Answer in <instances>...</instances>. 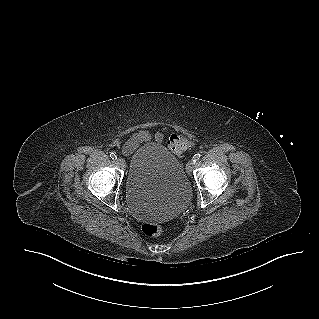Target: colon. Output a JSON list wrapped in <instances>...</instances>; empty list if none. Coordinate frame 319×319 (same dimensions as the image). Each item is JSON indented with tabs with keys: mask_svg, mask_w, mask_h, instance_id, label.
Returning <instances> with one entry per match:
<instances>
[{
	"mask_svg": "<svg viewBox=\"0 0 319 319\" xmlns=\"http://www.w3.org/2000/svg\"><path fill=\"white\" fill-rule=\"evenodd\" d=\"M192 144L191 136L185 130L172 135L168 141L169 149L177 154L182 153ZM141 230L148 236H160L165 232V227L159 223L145 222L141 225Z\"/></svg>",
	"mask_w": 319,
	"mask_h": 319,
	"instance_id": "1",
	"label": "colon"
}]
</instances>
